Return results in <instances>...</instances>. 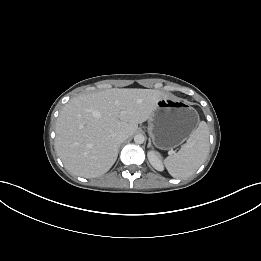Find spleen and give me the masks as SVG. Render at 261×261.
Listing matches in <instances>:
<instances>
[{
  "label": "spleen",
  "instance_id": "obj_1",
  "mask_svg": "<svg viewBox=\"0 0 261 261\" xmlns=\"http://www.w3.org/2000/svg\"><path fill=\"white\" fill-rule=\"evenodd\" d=\"M208 153L209 133L206 122L202 121L181 149L168 156L164 164L172 177L186 178L198 170Z\"/></svg>",
  "mask_w": 261,
  "mask_h": 261
}]
</instances>
